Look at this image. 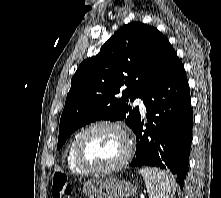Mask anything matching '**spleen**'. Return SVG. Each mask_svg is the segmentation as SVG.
Returning a JSON list of instances; mask_svg holds the SVG:
<instances>
[{"label": "spleen", "mask_w": 221, "mask_h": 198, "mask_svg": "<svg viewBox=\"0 0 221 198\" xmlns=\"http://www.w3.org/2000/svg\"><path fill=\"white\" fill-rule=\"evenodd\" d=\"M138 172L145 181L149 198H171L174 195V183L165 172L149 167L140 168Z\"/></svg>", "instance_id": "1"}]
</instances>
